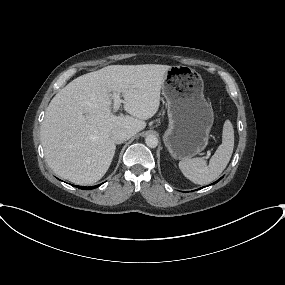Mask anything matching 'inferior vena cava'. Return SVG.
I'll return each instance as SVG.
<instances>
[{
	"label": "inferior vena cava",
	"instance_id": "602c4592",
	"mask_svg": "<svg viewBox=\"0 0 285 285\" xmlns=\"http://www.w3.org/2000/svg\"><path fill=\"white\" fill-rule=\"evenodd\" d=\"M131 137L130 133L123 129H116L111 132V139L116 144H121Z\"/></svg>",
	"mask_w": 285,
	"mask_h": 285
}]
</instances>
